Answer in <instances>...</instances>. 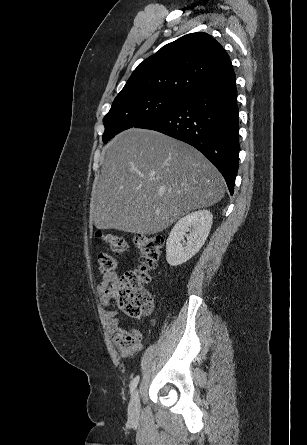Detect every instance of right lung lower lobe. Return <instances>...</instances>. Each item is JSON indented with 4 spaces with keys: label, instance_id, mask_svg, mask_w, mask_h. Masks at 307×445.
<instances>
[{
    "label": "right lung lower lobe",
    "instance_id": "right-lung-lower-lobe-1",
    "mask_svg": "<svg viewBox=\"0 0 307 445\" xmlns=\"http://www.w3.org/2000/svg\"><path fill=\"white\" fill-rule=\"evenodd\" d=\"M235 73L185 97L170 111L135 126L182 140L221 172L233 194L239 160Z\"/></svg>",
    "mask_w": 307,
    "mask_h": 445
}]
</instances>
